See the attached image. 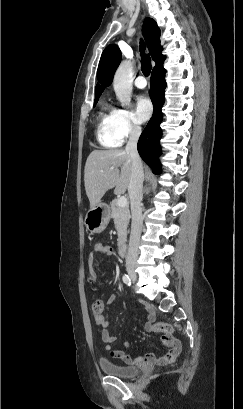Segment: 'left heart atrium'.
Listing matches in <instances>:
<instances>
[{
	"label": "left heart atrium",
	"mask_w": 243,
	"mask_h": 409,
	"mask_svg": "<svg viewBox=\"0 0 243 409\" xmlns=\"http://www.w3.org/2000/svg\"><path fill=\"white\" fill-rule=\"evenodd\" d=\"M152 114V104L145 95H139L136 98L134 108V118L138 123H143L149 119Z\"/></svg>",
	"instance_id": "left-heart-atrium-1"
}]
</instances>
